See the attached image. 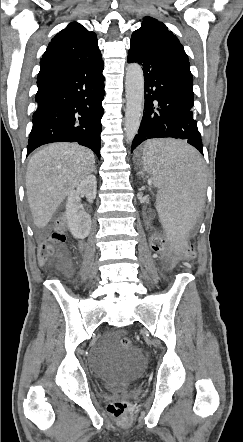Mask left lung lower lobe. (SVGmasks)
I'll use <instances>...</instances> for the list:
<instances>
[{
	"label": "left lung lower lobe",
	"instance_id": "left-lung-lower-lobe-1",
	"mask_svg": "<svg viewBox=\"0 0 243 442\" xmlns=\"http://www.w3.org/2000/svg\"><path fill=\"white\" fill-rule=\"evenodd\" d=\"M127 61L142 65L145 105L133 151L151 138L184 139L201 154L202 140L193 115V79L188 60L132 42Z\"/></svg>",
	"mask_w": 243,
	"mask_h": 442
}]
</instances>
